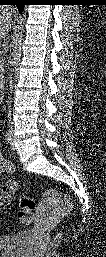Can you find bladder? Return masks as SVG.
Masks as SVG:
<instances>
[{
	"mask_svg": "<svg viewBox=\"0 0 106 257\" xmlns=\"http://www.w3.org/2000/svg\"><path fill=\"white\" fill-rule=\"evenodd\" d=\"M32 241V233L24 230L0 237L1 257H27Z\"/></svg>",
	"mask_w": 106,
	"mask_h": 257,
	"instance_id": "obj_1",
	"label": "bladder"
}]
</instances>
